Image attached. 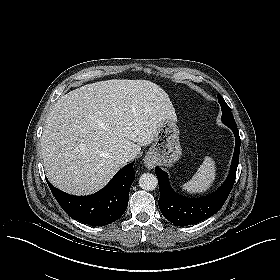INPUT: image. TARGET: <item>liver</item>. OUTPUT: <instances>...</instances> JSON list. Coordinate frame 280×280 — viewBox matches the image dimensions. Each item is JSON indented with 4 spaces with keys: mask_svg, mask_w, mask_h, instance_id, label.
<instances>
[{
    "mask_svg": "<svg viewBox=\"0 0 280 280\" xmlns=\"http://www.w3.org/2000/svg\"><path fill=\"white\" fill-rule=\"evenodd\" d=\"M177 120L167 93L148 80L112 79L61 96L49 112L41 156L49 181L74 195L102 189L151 144L159 126Z\"/></svg>",
    "mask_w": 280,
    "mask_h": 280,
    "instance_id": "1",
    "label": "liver"
}]
</instances>
